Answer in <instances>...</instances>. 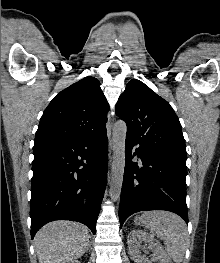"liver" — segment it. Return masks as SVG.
Masks as SVG:
<instances>
[{"label": "liver", "instance_id": "liver-1", "mask_svg": "<svg viewBox=\"0 0 220 263\" xmlns=\"http://www.w3.org/2000/svg\"><path fill=\"white\" fill-rule=\"evenodd\" d=\"M90 235L83 224L54 221L43 226L34 238L39 263H68L86 251Z\"/></svg>", "mask_w": 220, "mask_h": 263}]
</instances>
